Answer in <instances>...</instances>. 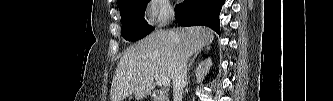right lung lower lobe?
I'll list each match as a JSON object with an SVG mask.
<instances>
[{"label":"right lung lower lobe","mask_w":333,"mask_h":101,"mask_svg":"<svg viewBox=\"0 0 333 101\" xmlns=\"http://www.w3.org/2000/svg\"><path fill=\"white\" fill-rule=\"evenodd\" d=\"M225 0H184L175 7L182 26L205 25L220 34L219 14Z\"/></svg>","instance_id":"98d812e1"}]
</instances>
